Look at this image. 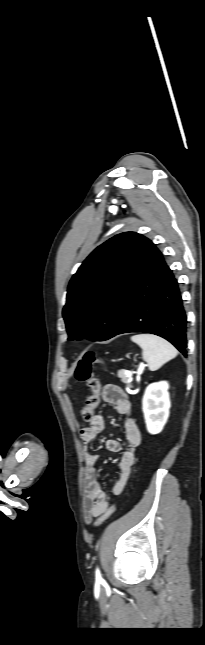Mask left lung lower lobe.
Wrapping results in <instances>:
<instances>
[{
	"label": "left lung lower lobe",
	"mask_w": 205,
	"mask_h": 645,
	"mask_svg": "<svg viewBox=\"0 0 205 645\" xmlns=\"http://www.w3.org/2000/svg\"><path fill=\"white\" fill-rule=\"evenodd\" d=\"M117 316L116 327L106 340L129 332L151 333L187 355V318L177 280L147 238L124 285Z\"/></svg>",
	"instance_id": "obj_1"
}]
</instances>
